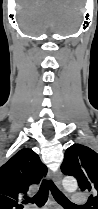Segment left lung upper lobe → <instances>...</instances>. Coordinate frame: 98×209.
Segmentation results:
<instances>
[{"label": "left lung upper lobe", "instance_id": "obj_1", "mask_svg": "<svg viewBox=\"0 0 98 209\" xmlns=\"http://www.w3.org/2000/svg\"><path fill=\"white\" fill-rule=\"evenodd\" d=\"M61 170L65 175L74 176L82 191L91 193L87 208L98 209V153L74 144L66 150Z\"/></svg>", "mask_w": 98, "mask_h": 209}]
</instances>
